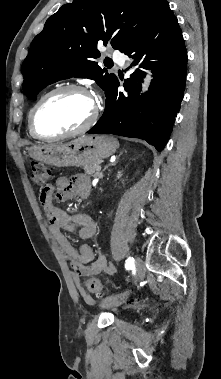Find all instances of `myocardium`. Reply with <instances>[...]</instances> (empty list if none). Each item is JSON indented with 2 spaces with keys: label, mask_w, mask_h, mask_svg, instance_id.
I'll use <instances>...</instances> for the list:
<instances>
[{
  "label": "myocardium",
  "mask_w": 221,
  "mask_h": 379,
  "mask_svg": "<svg viewBox=\"0 0 221 379\" xmlns=\"http://www.w3.org/2000/svg\"><path fill=\"white\" fill-rule=\"evenodd\" d=\"M67 91H76V92L83 93V94L89 96L93 100L94 107H93V111H92L90 117L82 125H80L79 127L75 128L73 130H70V131H67V132H64L61 134L53 135V136H45V135L40 134L37 131L36 125H35V117H36V113H37L38 109L50 97H52L56 94H59V93L67 92ZM99 112H100L99 106L87 88H85L84 86L78 85V84H65V85L58 86V87L48 91L35 103V105L32 107V109L29 112V118H28L29 129H30L31 133L33 134V136L40 139V140H45V141L60 140V139H64V138H68V137L80 134V133L88 130L97 121V119L99 117Z\"/></svg>",
  "instance_id": "obj_1"
}]
</instances>
